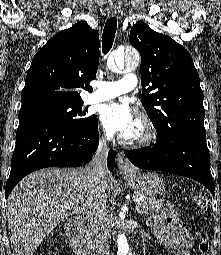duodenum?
<instances>
[{
    "label": "duodenum",
    "mask_w": 221,
    "mask_h": 255,
    "mask_svg": "<svg viewBox=\"0 0 221 255\" xmlns=\"http://www.w3.org/2000/svg\"><path fill=\"white\" fill-rule=\"evenodd\" d=\"M66 233L70 246L76 255H95L86 241L85 234L81 228V222L78 218H71L67 222Z\"/></svg>",
    "instance_id": "obj_1"
}]
</instances>
